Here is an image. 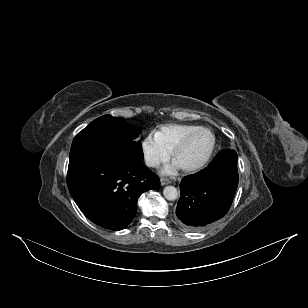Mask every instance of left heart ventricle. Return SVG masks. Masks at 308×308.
Masks as SVG:
<instances>
[{
	"label": "left heart ventricle",
	"instance_id": "b2bd125f",
	"mask_svg": "<svg viewBox=\"0 0 308 308\" xmlns=\"http://www.w3.org/2000/svg\"><path fill=\"white\" fill-rule=\"evenodd\" d=\"M211 145L212 136L208 132H201L176 156L174 161L180 168L196 165L206 157Z\"/></svg>",
	"mask_w": 308,
	"mask_h": 308
}]
</instances>
